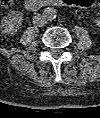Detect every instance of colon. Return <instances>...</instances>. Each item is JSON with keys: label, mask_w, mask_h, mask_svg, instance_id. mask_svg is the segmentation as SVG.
I'll list each match as a JSON object with an SVG mask.
<instances>
[{"label": "colon", "mask_w": 100, "mask_h": 118, "mask_svg": "<svg viewBox=\"0 0 100 118\" xmlns=\"http://www.w3.org/2000/svg\"><path fill=\"white\" fill-rule=\"evenodd\" d=\"M13 0H0L2 7L6 8L11 5ZM69 4L80 3L84 7H90L94 4V0H67Z\"/></svg>", "instance_id": "1"}]
</instances>
